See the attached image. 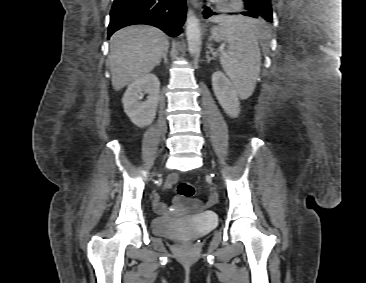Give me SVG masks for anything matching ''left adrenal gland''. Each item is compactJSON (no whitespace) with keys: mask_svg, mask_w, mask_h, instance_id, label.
<instances>
[{"mask_svg":"<svg viewBox=\"0 0 366 283\" xmlns=\"http://www.w3.org/2000/svg\"><path fill=\"white\" fill-rule=\"evenodd\" d=\"M209 51H206V59H207V63H210V61L212 60V59H214V58H211L210 56H209Z\"/></svg>","mask_w":366,"mask_h":283,"instance_id":"a2214340","label":"left adrenal gland"}]
</instances>
